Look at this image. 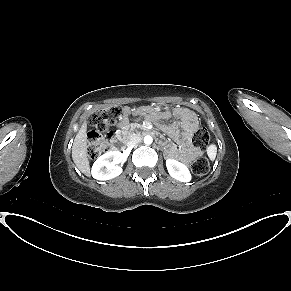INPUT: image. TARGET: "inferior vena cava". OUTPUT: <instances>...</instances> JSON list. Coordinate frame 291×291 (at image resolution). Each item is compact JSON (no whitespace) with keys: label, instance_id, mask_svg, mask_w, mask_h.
<instances>
[{"label":"inferior vena cava","instance_id":"obj_1","mask_svg":"<svg viewBox=\"0 0 291 291\" xmlns=\"http://www.w3.org/2000/svg\"><path fill=\"white\" fill-rule=\"evenodd\" d=\"M141 141V137L139 136H133L130 138V140L127 143L128 147H134Z\"/></svg>","mask_w":291,"mask_h":291}]
</instances>
